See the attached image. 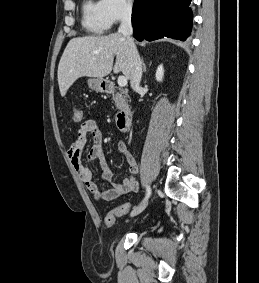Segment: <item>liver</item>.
Returning a JSON list of instances; mask_svg holds the SVG:
<instances>
[{
	"label": "liver",
	"instance_id": "obj_1",
	"mask_svg": "<svg viewBox=\"0 0 259 283\" xmlns=\"http://www.w3.org/2000/svg\"><path fill=\"white\" fill-rule=\"evenodd\" d=\"M114 56L116 62L113 67ZM113 69L130 79L128 44L120 33L105 36L73 38L67 44L58 65V84L61 96L80 77L101 78Z\"/></svg>",
	"mask_w": 259,
	"mask_h": 283
}]
</instances>
